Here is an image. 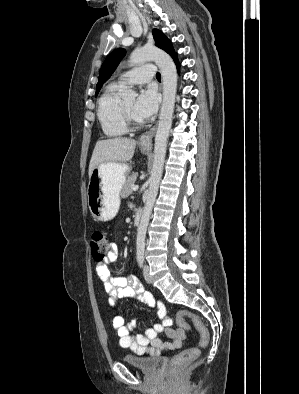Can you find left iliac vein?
I'll use <instances>...</instances> for the list:
<instances>
[{"instance_id":"4c4485c4","label":"left iliac vein","mask_w":299,"mask_h":394,"mask_svg":"<svg viewBox=\"0 0 299 394\" xmlns=\"http://www.w3.org/2000/svg\"><path fill=\"white\" fill-rule=\"evenodd\" d=\"M143 276H144V279L147 283L151 282V276L149 273V266L148 265H145L143 268Z\"/></svg>"}]
</instances>
